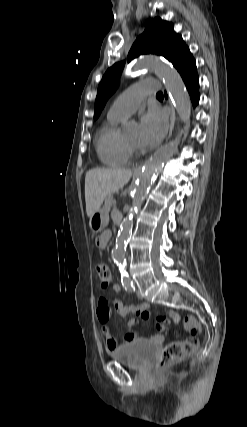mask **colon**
<instances>
[{
	"label": "colon",
	"instance_id": "5ec220e1",
	"mask_svg": "<svg viewBox=\"0 0 247 427\" xmlns=\"http://www.w3.org/2000/svg\"><path fill=\"white\" fill-rule=\"evenodd\" d=\"M96 272L100 280L101 287L108 288L111 282V272L108 265L104 262L96 264ZM184 328L191 334V338L183 342H173L165 346L158 358V366H167L179 359L188 356L199 347L197 335L201 332V326L192 316L184 319Z\"/></svg>",
	"mask_w": 247,
	"mask_h": 427
}]
</instances>
